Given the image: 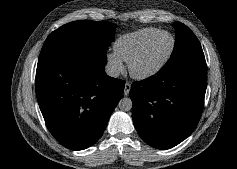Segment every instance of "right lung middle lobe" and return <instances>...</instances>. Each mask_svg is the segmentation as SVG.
I'll return each instance as SVG.
<instances>
[{"instance_id": "1", "label": "right lung middle lobe", "mask_w": 237, "mask_h": 169, "mask_svg": "<svg viewBox=\"0 0 237 169\" xmlns=\"http://www.w3.org/2000/svg\"><path fill=\"white\" fill-rule=\"evenodd\" d=\"M116 25L101 21H74L53 31L46 39L44 50L92 49L103 53L114 39Z\"/></svg>"}]
</instances>
